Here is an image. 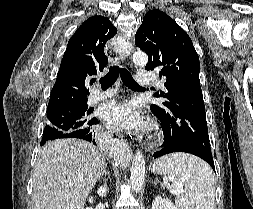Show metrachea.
<instances>
[{
    "label": "trachea",
    "mask_w": 253,
    "mask_h": 209,
    "mask_svg": "<svg viewBox=\"0 0 253 209\" xmlns=\"http://www.w3.org/2000/svg\"><path fill=\"white\" fill-rule=\"evenodd\" d=\"M120 75L121 80L124 85H126L130 89H140L141 87L135 82L132 78L131 74L125 68H121L117 65H113L110 67L109 72L106 76L100 79L101 87L103 90H106L110 86H112Z\"/></svg>",
    "instance_id": "obj_1"
}]
</instances>
